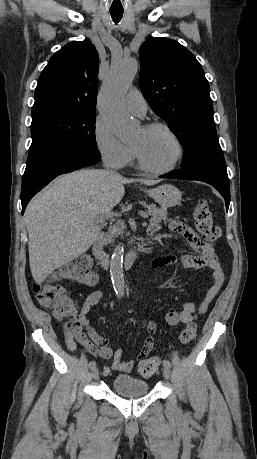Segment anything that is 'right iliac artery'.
Returning a JSON list of instances; mask_svg holds the SVG:
<instances>
[{"label":"right iliac artery","instance_id":"obj_1","mask_svg":"<svg viewBox=\"0 0 257 459\" xmlns=\"http://www.w3.org/2000/svg\"><path fill=\"white\" fill-rule=\"evenodd\" d=\"M89 368H90L91 370H93L94 368H96V363H95V361H90V362H89Z\"/></svg>","mask_w":257,"mask_h":459}]
</instances>
